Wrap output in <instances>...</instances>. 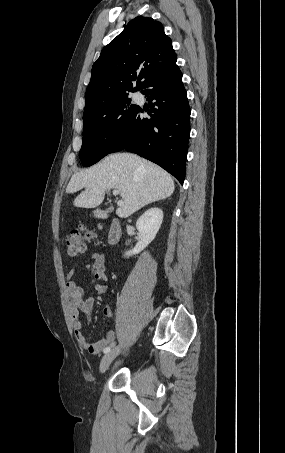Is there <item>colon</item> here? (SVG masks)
Returning <instances> with one entry per match:
<instances>
[{
	"label": "colon",
	"instance_id": "1",
	"mask_svg": "<svg viewBox=\"0 0 285 453\" xmlns=\"http://www.w3.org/2000/svg\"><path fill=\"white\" fill-rule=\"evenodd\" d=\"M96 237L94 230L80 227L71 231L66 240V252L74 257L83 253L86 249V242Z\"/></svg>",
	"mask_w": 285,
	"mask_h": 453
}]
</instances>
